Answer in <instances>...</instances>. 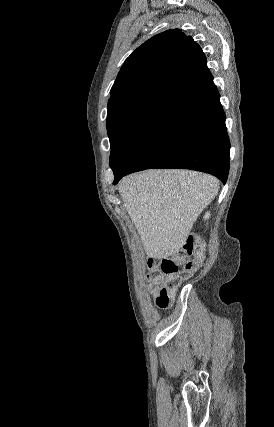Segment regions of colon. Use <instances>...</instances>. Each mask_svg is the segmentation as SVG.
<instances>
[{"mask_svg":"<svg viewBox=\"0 0 274 427\" xmlns=\"http://www.w3.org/2000/svg\"><path fill=\"white\" fill-rule=\"evenodd\" d=\"M205 243L190 234L181 251L146 262L147 281L155 292V306L165 309L179 284V279L198 271L205 261Z\"/></svg>","mask_w":274,"mask_h":427,"instance_id":"5ec220e1","label":"colon"}]
</instances>
